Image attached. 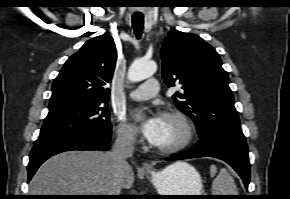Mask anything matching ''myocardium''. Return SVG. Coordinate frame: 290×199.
<instances>
[{
  "label": "myocardium",
  "mask_w": 290,
  "mask_h": 199,
  "mask_svg": "<svg viewBox=\"0 0 290 199\" xmlns=\"http://www.w3.org/2000/svg\"><path fill=\"white\" fill-rule=\"evenodd\" d=\"M162 116L171 117L179 121L185 130V136L181 142L172 147L153 145L154 149L162 154H176L187 149L193 143L196 136L195 126L192 120L184 112L177 109H167L162 112Z\"/></svg>",
  "instance_id": "1"
}]
</instances>
